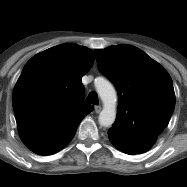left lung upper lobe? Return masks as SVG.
I'll list each match as a JSON object with an SVG mask.
<instances>
[{"mask_svg":"<svg viewBox=\"0 0 187 187\" xmlns=\"http://www.w3.org/2000/svg\"><path fill=\"white\" fill-rule=\"evenodd\" d=\"M99 71L116 87L117 117L110 131L136 133L155 141L168 125L175 107L168 72L142 50L130 45L94 51ZM132 141L143 139L133 136Z\"/></svg>","mask_w":187,"mask_h":187,"instance_id":"1","label":"left lung upper lobe"}]
</instances>
